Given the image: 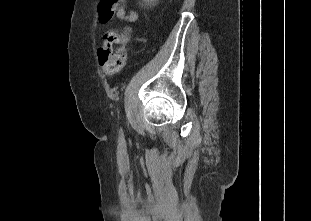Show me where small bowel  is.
Listing matches in <instances>:
<instances>
[{"label": "small bowel", "mask_w": 311, "mask_h": 221, "mask_svg": "<svg viewBox=\"0 0 311 221\" xmlns=\"http://www.w3.org/2000/svg\"><path fill=\"white\" fill-rule=\"evenodd\" d=\"M116 18L124 22H135L139 18L137 11L127 9L126 6L121 5L116 10Z\"/></svg>", "instance_id": "c3829d8e"}]
</instances>
